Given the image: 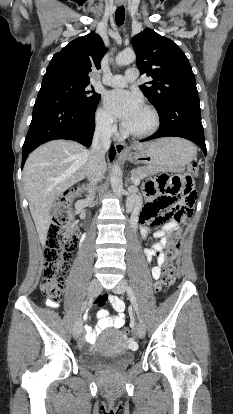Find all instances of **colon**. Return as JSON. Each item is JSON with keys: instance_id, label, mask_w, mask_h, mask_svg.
Here are the masks:
<instances>
[{"instance_id": "obj_1", "label": "colon", "mask_w": 233, "mask_h": 414, "mask_svg": "<svg viewBox=\"0 0 233 414\" xmlns=\"http://www.w3.org/2000/svg\"><path fill=\"white\" fill-rule=\"evenodd\" d=\"M198 174V164L193 162L188 173L184 176L160 174L145 183V190L158 198L151 204V213L158 215L161 210L172 209L174 218L181 224H186L193 213L196 200L193 177ZM80 188L71 189L67 195L58 200L52 209V222L48 229L45 242L44 276L40 283L41 293L52 301L63 297L64 276L71 259V252L75 247V237L68 231L70 213L66 209L70 200L79 196ZM179 248V234L175 233L166 238L163 254L166 261L162 267L160 277L155 285L156 292L164 293L173 285L176 279L174 259ZM125 335L130 329H123Z\"/></svg>"}]
</instances>
